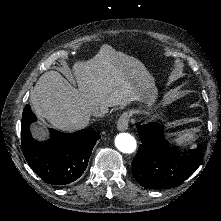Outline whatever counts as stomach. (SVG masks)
<instances>
[{"label": "stomach", "instance_id": "0dacf381", "mask_svg": "<svg viewBox=\"0 0 221 221\" xmlns=\"http://www.w3.org/2000/svg\"><path fill=\"white\" fill-rule=\"evenodd\" d=\"M136 110H137V112L140 111V109H134V110L131 111V113H136ZM160 119H161V116L159 114L154 113V114L150 115V120L152 122H157Z\"/></svg>", "mask_w": 221, "mask_h": 221}]
</instances>
